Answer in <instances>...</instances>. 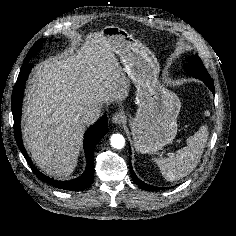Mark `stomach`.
<instances>
[{
  "mask_svg": "<svg viewBox=\"0 0 236 236\" xmlns=\"http://www.w3.org/2000/svg\"><path fill=\"white\" fill-rule=\"evenodd\" d=\"M101 33L136 87L137 111L129 120L135 149L152 154L175 138L181 102L159 82V63L147 47L118 26H106Z\"/></svg>",
  "mask_w": 236,
  "mask_h": 236,
  "instance_id": "stomach-1",
  "label": "stomach"
}]
</instances>
